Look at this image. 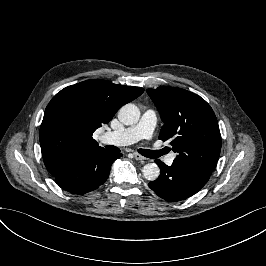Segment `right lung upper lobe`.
I'll list each match as a JSON object with an SVG mask.
<instances>
[{
	"label": "right lung upper lobe",
	"instance_id": "cb5924a9",
	"mask_svg": "<svg viewBox=\"0 0 266 266\" xmlns=\"http://www.w3.org/2000/svg\"><path fill=\"white\" fill-rule=\"evenodd\" d=\"M143 92L140 87L87 80L57 93L40 127L42 157L49 172L54 176L70 157L102 148L92 137L94 131Z\"/></svg>",
	"mask_w": 266,
	"mask_h": 266
}]
</instances>
